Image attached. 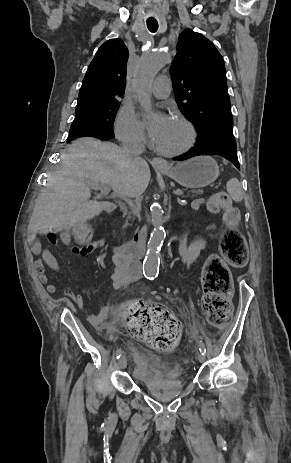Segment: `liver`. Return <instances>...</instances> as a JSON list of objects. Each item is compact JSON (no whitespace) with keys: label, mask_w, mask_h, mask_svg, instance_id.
<instances>
[{"label":"liver","mask_w":291,"mask_h":463,"mask_svg":"<svg viewBox=\"0 0 291 463\" xmlns=\"http://www.w3.org/2000/svg\"><path fill=\"white\" fill-rule=\"evenodd\" d=\"M150 177L144 159L132 160L113 143L90 137L74 141L36 200L28 226L32 238L36 233L68 231L76 223L98 216L106 204L90 200L93 183L110 186L115 194L132 198L146 190Z\"/></svg>","instance_id":"6515ba94"}]
</instances>
